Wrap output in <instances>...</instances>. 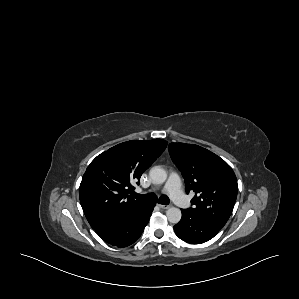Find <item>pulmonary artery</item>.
<instances>
[{
  "label": "pulmonary artery",
  "mask_w": 299,
  "mask_h": 299,
  "mask_svg": "<svg viewBox=\"0 0 299 299\" xmlns=\"http://www.w3.org/2000/svg\"><path fill=\"white\" fill-rule=\"evenodd\" d=\"M163 192L169 194L172 200L181 207L186 205V198L181 190V179L175 172L169 175L166 184L163 187Z\"/></svg>",
  "instance_id": "obj_1"
}]
</instances>
